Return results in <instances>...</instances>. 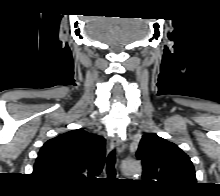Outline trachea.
Segmentation results:
<instances>
[{"instance_id":"trachea-1","label":"trachea","mask_w":220,"mask_h":196,"mask_svg":"<svg viewBox=\"0 0 220 196\" xmlns=\"http://www.w3.org/2000/svg\"><path fill=\"white\" fill-rule=\"evenodd\" d=\"M115 163H116V157H115V151L112 150L107 158V176L108 179H114L116 176V170H115Z\"/></svg>"}]
</instances>
